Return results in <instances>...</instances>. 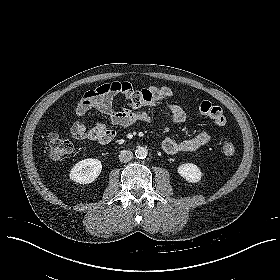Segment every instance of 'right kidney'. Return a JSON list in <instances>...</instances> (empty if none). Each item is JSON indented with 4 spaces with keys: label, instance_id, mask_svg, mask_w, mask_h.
Masks as SVG:
<instances>
[{
    "label": "right kidney",
    "instance_id": "1",
    "mask_svg": "<svg viewBox=\"0 0 280 280\" xmlns=\"http://www.w3.org/2000/svg\"><path fill=\"white\" fill-rule=\"evenodd\" d=\"M101 169L102 164L99 160L85 159L71 169L70 178L79 184L93 183L100 175Z\"/></svg>",
    "mask_w": 280,
    "mask_h": 280
}]
</instances>
